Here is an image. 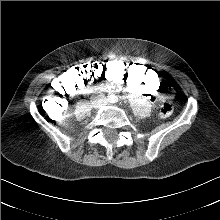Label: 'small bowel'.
<instances>
[{"mask_svg":"<svg viewBox=\"0 0 220 220\" xmlns=\"http://www.w3.org/2000/svg\"><path fill=\"white\" fill-rule=\"evenodd\" d=\"M110 61V60H109ZM108 62V61H106ZM125 88L126 91L130 94H133V95H137V94H142L146 97L150 96V95H153L156 93V91H158V88L157 90H154V91H148V90H145V91H140L138 89H136L134 86H131V85H128L126 83H123V82H120V83H114L112 81H108V83L105 85V88L106 90L108 91H119L121 90L122 88Z\"/></svg>","mask_w":220,"mask_h":220,"instance_id":"1","label":"small bowel"}]
</instances>
